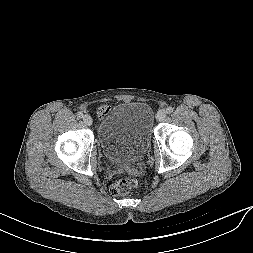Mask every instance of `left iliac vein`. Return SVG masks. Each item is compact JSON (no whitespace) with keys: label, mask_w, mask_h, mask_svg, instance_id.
I'll use <instances>...</instances> for the list:
<instances>
[{"label":"left iliac vein","mask_w":253,"mask_h":253,"mask_svg":"<svg viewBox=\"0 0 253 253\" xmlns=\"http://www.w3.org/2000/svg\"><path fill=\"white\" fill-rule=\"evenodd\" d=\"M167 116L166 110L162 109L157 112L156 118L158 121H163Z\"/></svg>","instance_id":"4c4485c4"}]
</instances>
